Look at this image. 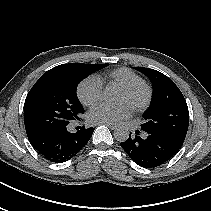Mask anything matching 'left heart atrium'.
I'll return each mask as SVG.
<instances>
[{"mask_svg":"<svg viewBox=\"0 0 211 211\" xmlns=\"http://www.w3.org/2000/svg\"><path fill=\"white\" fill-rule=\"evenodd\" d=\"M130 115L131 109L128 105L113 107L107 104H100L89 112L88 119L94 124H116Z\"/></svg>","mask_w":211,"mask_h":211,"instance_id":"39dd6f15","label":"left heart atrium"}]
</instances>
